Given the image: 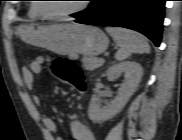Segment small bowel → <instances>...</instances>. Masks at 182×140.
<instances>
[{"label": "small bowel", "instance_id": "c3829d8e", "mask_svg": "<svg viewBox=\"0 0 182 140\" xmlns=\"http://www.w3.org/2000/svg\"><path fill=\"white\" fill-rule=\"evenodd\" d=\"M50 61L48 56L39 55L34 58L28 65H24L21 69V76L24 85L28 89H32L34 85V74L40 73L42 66ZM33 102L36 105L40 104V98L33 96ZM42 122L45 130L49 134L51 140H63L57 133L55 121L48 115H42ZM69 129L74 140H96L92 130L84 125L77 115H73L69 120Z\"/></svg>", "mask_w": 182, "mask_h": 140}]
</instances>
